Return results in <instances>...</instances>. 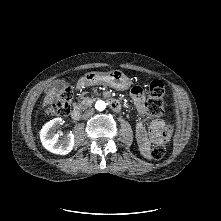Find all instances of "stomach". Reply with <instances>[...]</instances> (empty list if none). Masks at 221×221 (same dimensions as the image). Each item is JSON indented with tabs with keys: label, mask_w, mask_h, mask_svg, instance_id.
Here are the masks:
<instances>
[{
	"label": "stomach",
	"mask_w": 221,
	"mask_h": 221,
	"mask_svg": "<svg viewBox=\"0 0 221 221\" xmlns=\"http://www.w3.org/2000/svg\"><path fill=\"white\" fill-rule=\"evenodd\" d=\"M78 83L85 86L105 84L117 90H127L132 85V81L120 70L88 72Z\"/></svg>",
	"instance_id": "1"
}]
</instances>
